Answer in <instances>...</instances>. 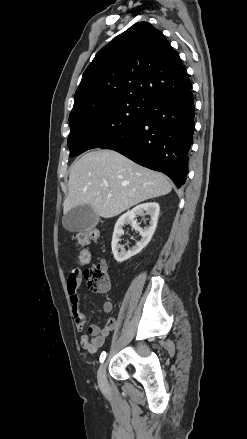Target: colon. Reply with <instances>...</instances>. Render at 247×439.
<instances>
[{
    "label": "colon",
    "mask_w": 247,
    "mask_h": 439,
    "mask_svg": "<svg viewBox=\"0 0 247 439\" xmlns=\"http://www.w3.org/2000/svg\"><path fill=\"white\" fill-rule=\"evenodd\" d=\"M100 234L95 228L79 231L75 234L74 240L76 244L81 247L78 254V263L81 266H86L90 263L91 254L86 248L89 243L99 242ZM84 276L87 280L88 288L94 293H103L109 289L110 281L107 273L106 265L103 261L93 264L84 271Z\"/></svg>",
    "instance_id": "colon-1"
}]
</instances>
